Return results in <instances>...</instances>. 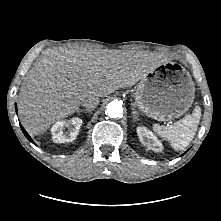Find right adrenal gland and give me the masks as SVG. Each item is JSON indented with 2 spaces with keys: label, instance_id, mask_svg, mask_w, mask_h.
I'll use <instances>...</instances> for the list:
<instances>
[{
  "label": "right adrenal gland",
  "instance_id": "obj_1",
  "mask_svg": "<svg viewBox=\"0 0 221 221\" xmlns=\"http://www.w3.org/2000/svg\"><path fill=\"white\" fill-rule=\"evenodd\" d=\"M91 111V109H78V112L90 113Z\"/></svg>",
  "mask_w": 221,
  "mask_h": 221
}]
</instances>
